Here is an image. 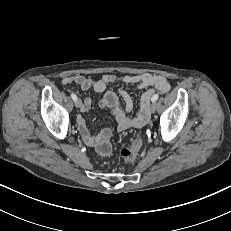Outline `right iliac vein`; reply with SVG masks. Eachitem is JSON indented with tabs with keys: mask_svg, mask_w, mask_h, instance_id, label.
Instances as JSON below:
<instances>
[{
	"mask_svg": "<svg viewBox=\"0 0 231 231\" xmlns=\"http://www.w3.org/2000/svg\"><path fill=\"white\" fill-rule=\"evenodd\" d=\"M75 106H76L77 108H80V107L82 106V101H81L80 99H77V100L75 101Z\"/></svg>",
	"mask_w": 231,
	"mask_h": 231,
	"instance_id": "1",
	"label": "right iliac vein"
}]
</instances>
